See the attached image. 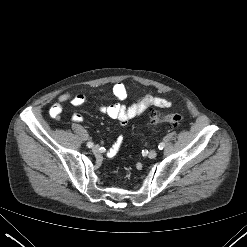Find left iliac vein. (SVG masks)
<instances>
[{
    "mask_svg": "<svg viewBox=\"0 0 247 247\" xmlns=\"http://www.w3.org/2000/svg\"><path fill=\"white\" fill-rule=\"evenodd\" d=\"M157 156V152L155 150H151L148 154V157L153 159Z\"/></svg>",
    "mask_w": 247,
    "mask_h": 247,
    "instance_id": "4c4485c4",
    "label": "left iliac vein"
}]
</instances>
